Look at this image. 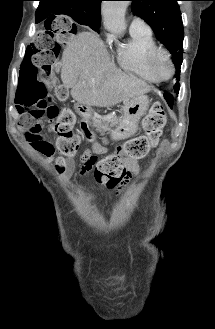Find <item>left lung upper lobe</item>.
<instances>
[{
  "mask_svg": "<svg viewBox=\"0 0 215 329\" xmlns=\"http://www.w3.org/2000/svg\"><path fill=\"white\" fill-rule=\"evenodd\" d=\"M130 1L133 2V13L151 26L157 39L173 54L172 60L176 66L177 80H179L184 38L181 12L177 4L179 0ZM174 89L178 93V83L174 85Z\"/></svg>",
  "mask_w": 215,
  "mask_h": 329,
  "instance_id": "obj_1",
  "label": "left lung upper lobe"
}]
</instances>
